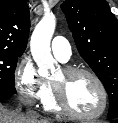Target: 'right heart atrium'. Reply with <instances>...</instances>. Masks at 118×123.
Here are the masks:
<instances>
[{
    "label": "right heart atrium",
    "instance_id": "right-heart-atrium-1",
    "mask_svg": "<svg viewBox=\"0 0 118 123\" xmlns=\"http://www.w3.org/2000/svg\"><path fill=\"white\" fill-rule=\"evenodd\" d=\"M14 81L21 100L26 104L42 101L48 90V83L37 72L28 57L23 58L14 72Z\"/></svg>",
    "mask_w": 118,
    "mask_h": 123
}]
</instances>
